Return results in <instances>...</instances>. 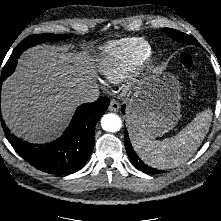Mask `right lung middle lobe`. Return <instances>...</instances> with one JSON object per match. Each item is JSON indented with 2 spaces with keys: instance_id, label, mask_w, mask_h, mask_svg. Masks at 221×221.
<instances>
[{
  "instance_id": "dd1d6c3e",
  "label": "right lung middle lobe",
  "mask_w": 221,
  "mask_h": 221,
  "mask_svg": "<svg viewBox=\"0 0 221 221\" xmlns=\"http://www.w3.org/2000/svg\"><path fill=\"white\" fill-rule=\"evenodd\" d=\"M68 36L66 35H55V34H50V33H45V34H37V35H31L28 36L26 39H24L19 45V49H22L23 51L27 49L28 47L37 45L39 43H43L46 41H55V40H60L67 38ZM18 57H12L5 67L3 68L2 74H1V80H5L9 75H11L14 70L15 66L17 64V59ZM15 60V61H14Z\"/></svg>"
}]
</instances>
